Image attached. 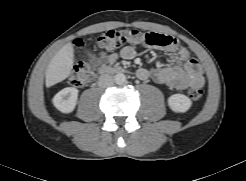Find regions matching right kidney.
Here are the masks:
<instances>
[{"label": "right kidney", "mask_w": 246, "mask_h": 181, "mask_svg": "<svg viewBox=\"0 0 246 181\" xmlns=\"http://www.w3.org/2000/svg\"><path fill=\"white\" fill-rule=\"evenodd\" d=\"M78 98V90L67 87L58 92L53 98L54 106L62 113H70L75 109Z\"/></svg>", "instance_id": "obj_1"}]
</instances>
